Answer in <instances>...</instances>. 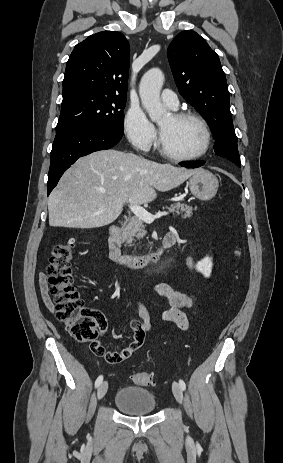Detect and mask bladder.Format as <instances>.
<instances>
[{
    "label": "bladder",
    "mask_w": 283,
    "mask_h": 463,
    "mask_svg": "<svg viewBox=\"0 0 283 463\" xmlns=\"http://www.w3.org/2000/svg\"><path fill=\"white\" fill-rule=\"evenodd\" d=\"M115 406L126 415L142 416L156 411V397L147 389L136 386L120 388L114 398Z\"/></svg>",
    "instance_id": "bladder-1"
}]
</instances>
